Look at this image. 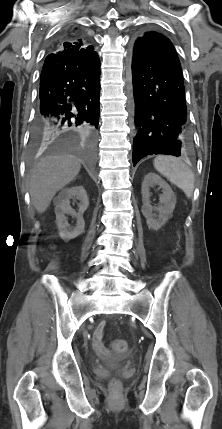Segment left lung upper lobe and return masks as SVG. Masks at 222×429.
I'll return each mask as SVG.
<instances>
[{"mask_svg": "<svg viewBox=\"0 0 222 429\" xmlns=\"http://www.w3.org/2000/svg\"><path fill=\"white\" fill-rule=\"evenodd\" d=\"M159 35H162V34H160L158 32H154V31H148V32L140 34L139 37H137L136 42L143 40V39H146V38H149L150 36H159Z\"/></svg>", "mask_w": 222, "mask_h": 429, "instance_id": "1", "label": "left lung upper lobe"}]
</instances>
